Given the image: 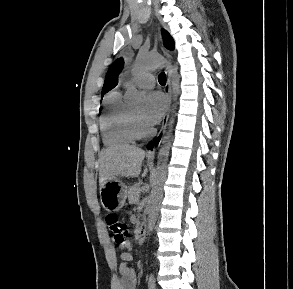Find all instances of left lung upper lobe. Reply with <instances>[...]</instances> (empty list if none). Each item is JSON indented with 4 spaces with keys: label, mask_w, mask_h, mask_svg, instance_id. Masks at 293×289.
<instances>
[{
    "label": "left lung upper lobe",
    "mask_w": 293,
    "mask_h": 289,
    "mask_svg": "<svg viewBox=\"0 0 293 289\" xmlns=\"http://www.w3.org/2000/svg\"><path fill=\"white\" fill-rule=\"evenodd\" d=\"M162 36H163V41H164V45L167 49L169 50H173L174 49V42L172 37L170 36V34L162 29Z\"/></svg>",
    "instance_id": "left-lung-upper-lobe-1"
}]
</instances>
